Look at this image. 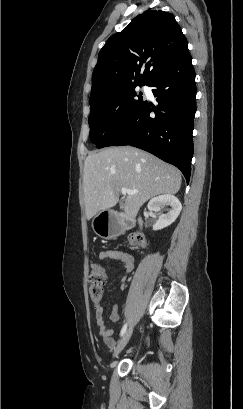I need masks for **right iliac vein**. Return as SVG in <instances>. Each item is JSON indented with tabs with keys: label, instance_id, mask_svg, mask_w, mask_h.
Returning <instances> with one entry per match:
<instances>
[{
	"label": "right iliac vein",
	"instance_id": "63e3f726",
	"mask_svg": "<svg viewBox=\"0 0 243 409\" xmlns=\"http://www.w3.org/2000/svg\"><path fill=\"white\" fill-rule=\"evenodd\" d=\"M133 332V326H131L126 332L125 334L122 336L121 340L119 341L114 353H113V357H117L119 355V353L124 349V347L127 345V343L130 340V337L132 335Z\"/></svg>",
	"mask_w": 243,
	"mask_h": 409
}]
</instances>
